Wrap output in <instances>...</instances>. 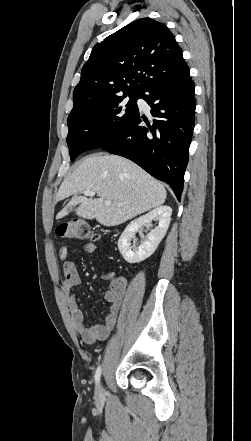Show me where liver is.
Masks as SVG:
<instances>
[{"mask_svg": "<svg viewBox=\"0 0 251 441\" xmlns=\"http://www.w3.org/2000/svg\"><path fill=\"white\" fill-rule=\"evenodd\" d=\"M91 190L98 198H85L80 193ZM73 196L76 214L96 219L104 226H117L135 216L161 206L166 199L164 186L142 168L117 155L95 154L85 158L62 182L56 196L61 201ZM110 200V205L105 201ZM64 208L56 219L68 214Z\"/></svg>", "mask_w": 251, "mask_h": 441, "instance_id": "1", "label": "liver"}]
</instances>
